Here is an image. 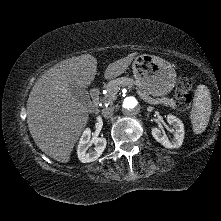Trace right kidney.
<instances>
[{"label": "right kidney", "instance_id": "right-kidney-1", "mask_svg": "<svg viewBox=\"0 0 221 221\" xmlns=\"http://www.w3.org/2000/svg\"><path fill=\"white\" fill-rule=\"evenodd\" d=\"M90 144H94V150L89 148ZM106 139L103 137L91 138V130L86 128L80 138L77 155L82 163L93 162L97 160L106 148Z\"/></svg>", "mask_w": 221, "mask_h": 221}]
</instances>
